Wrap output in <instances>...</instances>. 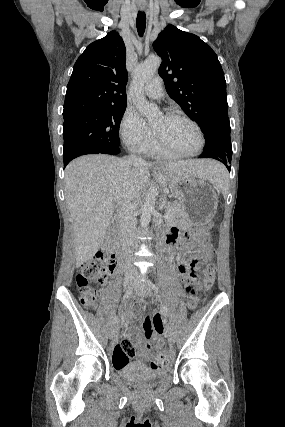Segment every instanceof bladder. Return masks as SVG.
I'll list each match as a JSON object with an SVG mask.
<instances>
[{"instance_id":"31cf9c89","label":"bladder","mask_w":285,"mask_h":427,"mask_svg":"<svg viewBox=\"0 0 285 427\" xmlns=\"http://www.w3.org/2000/svg\"><path fill=\"white\" fill-rule=\"evenodd\" d=\"M115 373L124 381L139 389H148L166 377L165 372H154L141 363H130Z\"/></svg>"}]
</instances>
